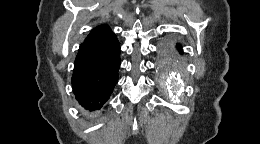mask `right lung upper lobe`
Segmentation results:
<instances>
[{"label":"right lung upper lobe","instance_id":"cb5924a9","mask_svg":"<svg viewBox=\"0 0 260 144\" xmlns=\"http://www.w3.org/2000/svg\"><path fill=\"white\" fill-rule=\"evenodd\" d=\"M110 27L108 25H100L92 29L89 35L86 37L85 41L97 39L109 34H112Z\"/></svg>","mask_w":260,"mask_h":144}]
</instances>
